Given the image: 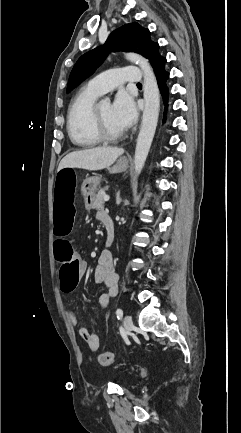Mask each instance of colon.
I'll list each match as a JSON object with an SVG mask.
<instances>
[{
  "label": "colon",
  "mask_w": 241,
  "mask_h": 433,
  "mask_svg": "<svg viewBox=\"0 0 241 433\" xmlns=\"http://www.w3.org/2000/svg\"><path fill=\"white\" fill-rule=\"evenodd\" d=\"M73 164H64L58 166L56 181L54 182L55 193L53 196V213L52 220L56 234L60 237L54 241V252L56 258L61 264L58 275L62 277L61 289L64 292H71L77 284L80 261L74 252L70 239L65 236L70 233L73 225L75 210L72 207L75 194V172ZM114 360V354L110 352L101 353L98 361L103 366H109Z\"/></svg>",
  "instance_id": "colon-1"
}]
</instances>
